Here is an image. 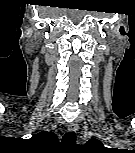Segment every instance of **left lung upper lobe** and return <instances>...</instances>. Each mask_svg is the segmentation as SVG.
Instances as JSON below:
<instances>
[{
    "mask_svg": "<svg viewBox=\"0 0 135 153\" xmlns=\"http://www.w3.org/2000/svg\"><path fill=\"white\" fill-rule=\"evenodd\" d=\"M87 145L94 147V148H98V149H102L104 147L103 144L100 141H98L97 139L89 140L87 142Z\"/></svg>",
    "mask_w": 135,
    "mask_h": 153,
    "instance_id": "obj_1",
    "label": "left lung upper lobe"
}]
</instances>
